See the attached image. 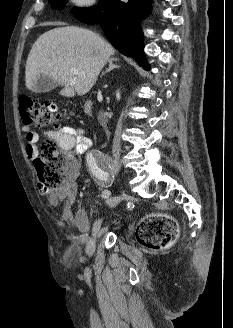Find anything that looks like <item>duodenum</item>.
Segmentation results:
<instances>
[{
    "mask_svg": "<svg viewBox=\"0 0 233 328\" xmlns=\"http://www.w3.org/2000/svg\"><path fill=\"white\" fill-rule=\"evenodd\" d=\"M84 111L87 115L91 114V111H92V102L91 101H87L85 103Z\"/></svg>",
    "mask_w": 233,
    "mask_h": 328,
    "instance_id": "duodenum-1",
    "label": "duodenum"
}]
</instances>
